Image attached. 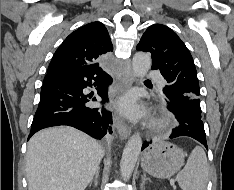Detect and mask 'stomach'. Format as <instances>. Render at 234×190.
I'll list each match as a JSON object with an SVG mask.
<instances>
[{
    "label": "stomach",
    "mask_w": 234,
    "mask_h": 190,
    "mask_svg": "<svg viewBox=\"0 0 234 190\" xmlns=\"http://www.w3.org/2000/svg\"><path fill=\"white\" fill-rule=\"evenodd\" d=\"M184 164V152L177 145L159 141L150 145L141 158L142 169L150 175L165 179L177 173Z\"/></svg>",
    "instance_id": "1"
}]
</instances>
